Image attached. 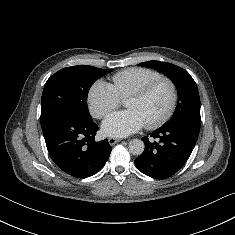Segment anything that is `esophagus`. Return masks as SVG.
Returning <instances> with one entry per match:
<instances>
[{"label": "esophagus", "mask_w": 235, "mask_h": 235, "mask_svg": "<svg viewBox=\"0 0 235 235\" xmlns=\"http://www.w3.org/2000/svg\"><path fill=\"white\" fill-rule=\"evenodd\" d=\"M120 141H121V139H119V138H115V137H109L108 138V142H109L110 145H114V144H116Z\"/></svg>", "instance_id": "34e87169"}]
</instances>
